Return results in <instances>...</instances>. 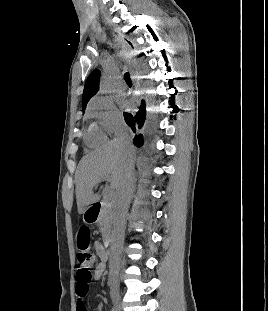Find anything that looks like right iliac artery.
I'll return each mask as SVG.
<instances>
[{"label": "right iliac artery", "instance_id": "right-iliac-artery-1", "mask_svg": "<svg viewBox=\"0 0 268 311\" xmlns=\"http://www.w3.org/2000/svg\"><path fill=\"white\" fill-rule=\"evenodd\" d=\"M111 311H115V309H114V308H112V309H111Z\"/></svg>", "mask_w": 268, "mask_h": 311}]
</instances>
